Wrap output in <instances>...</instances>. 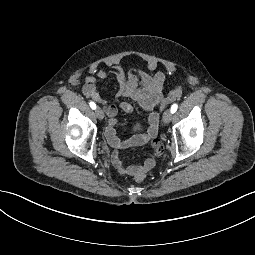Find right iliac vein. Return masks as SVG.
<instances>
[{"mask_svg":"<svg viewBox=\"0 0 255 255\" xmlns=\"http://www.w3.org/2000/svg\"><path fill=\"white\" fill-rule=\"evenodd\" d=\"M95 115L99 120H102L104 118V112L101 108H97L95 110Z\"/></svg>","mask_w":255,"mask_h":255,"instance_id":"right-iliac-vein-1","label":"right iliac vein"}]
</instances>
